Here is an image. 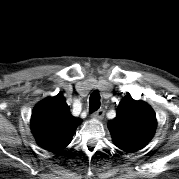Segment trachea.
<instances>
[{
    "label": "trachea",
    "instance_id": "obj_1",
    "mask_svg": "<svg viewBox=\"0 0 179 179\" xmlns=\"http://www.w3.org/2000/svg\"><path fill=\"white\" fill-rule=\"evenodd\" d=\"M100 108V95L98 91L91 93L89 98V112L93 113Z\"/></svg>",
    "mask_w": 179,
    "mask_h": 179
}]
</instances>
